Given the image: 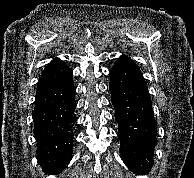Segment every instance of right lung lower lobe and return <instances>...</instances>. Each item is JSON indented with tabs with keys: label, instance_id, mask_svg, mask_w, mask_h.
Here are the masks:
<instances>
[{
	"label": "right lung lower lobe",
	"instance_id": "right-lung-lower-lobe-1",
	"mask_svg": "<svg viewBox=\"0 0 194 178\" xmlns=\"http://www.w3.org/2000/svg\"><path fill=\"white\" fill-rule=\"evenodd\" d=\"M75 86L71 69L53 79L38 82L32 111L37 158L43 171L58 174L72 158Z\"/></svg>",
	"mask_w": 194,
	"mask_h": 178
}]
</instances>
